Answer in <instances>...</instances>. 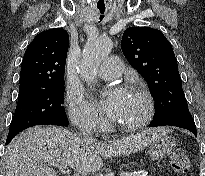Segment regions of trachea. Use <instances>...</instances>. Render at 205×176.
Wrapping results in <instances>:
<instances>
[{
    "instance_id": "3493384b",
    "label": "trachea",
    "mask_w": 205,
    "mask_h": 176,
    "mask_svg": "<svg viewBox=\"0 0 205 176\" xmlns=\"http://www.w3.org/2000/svg\"><path fill=\"white\" fill-rule=\"evenodd\" d=\"M104 12H105V10H100V13H101V15L99 17L100 21H102V19L104 18V15H103Z\"/></svg>"
}]
</instances>
